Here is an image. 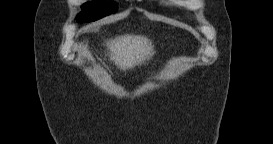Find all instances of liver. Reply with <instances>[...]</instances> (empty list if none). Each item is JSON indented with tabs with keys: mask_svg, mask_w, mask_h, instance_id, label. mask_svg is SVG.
<instances>
[{
	"mask_svg": "<svg viewBox=\"0 0 273 144\" xmlns=\"http://www.w3.org/2000/svg\"><path fill=\"white\" fill-rule=\"evenodd\" d=\"M110 60L121 70L132 69L154 55L152 41L140 35H121L106 43Z\"/></svg>",
	"mask_w": 273,
	"mask_h": 144,
	"instance_id": "obj_1",
	"label": "liver"
}]
</instances>
